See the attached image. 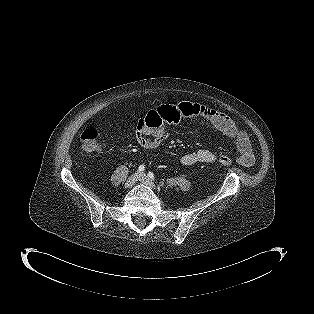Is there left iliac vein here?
I'll use <instances>...</instances> for the list:
<instances>
[{
  "mask_svg": "<svg viewBox=\"0 0 314 314\" xmlns=\"http://www.w3.org/2000/svg\"><path fill=\"white\" fill-rule=\"evenodd\" d=\"M138 179L140 182L150 187L151 189H156L154 183L147 177L145 173H140Z\"/></svg>",
  "mask_w": 314,
  "mask_h": 314,
  "instance_id": "left-iliac-vein-1",
  "label": "left iliac vein"
}]
</instances>
